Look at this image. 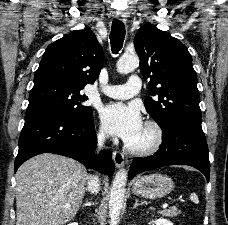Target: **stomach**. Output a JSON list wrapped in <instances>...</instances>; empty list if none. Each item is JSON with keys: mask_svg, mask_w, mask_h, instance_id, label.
Returning <instances> with one entry per match:
<instances>
[{"mask_svg": "<svg viewBox=\"0 0 228 225\" xmlns=\"http://www.w3.org/2000/svg\"><path fill=\"white\" fill-rule=\"evenodd\" d=\"M174 183L167 175H144V177H137L133 183L132 193L137 197H144V199H162L169 193H172Z\"/></svg>", "mask_w": 228, "mask_h": 225, "instance_id": "stomach-1", "label": "stomach"}]
</instances>
